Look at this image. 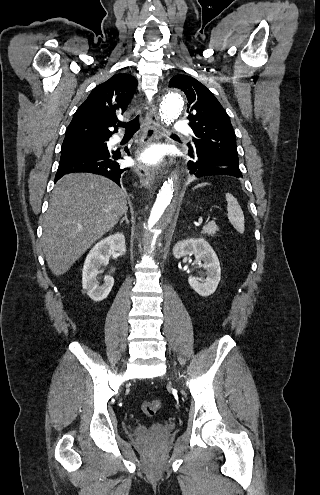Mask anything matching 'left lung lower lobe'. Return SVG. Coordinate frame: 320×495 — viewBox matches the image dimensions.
<instances>
[{"label": "left lung lower lobe", "mask_w": 320, "mask_h": 495, "mask_svg": "<svg viewBox=\"0 0 320 495\" xmlns=\"http://www.w3.org/2000/svg\"><path fill=\"white\" fill-rule=\"evenodd\" d=\"M191 160L188 162L190 174L200 178L211 175H228L242 177L238 164L224 160L204 149H194L188 152Z\"/></svg>", "instance_id": "left-lung-lower-lobe-1"}]
</instances>
